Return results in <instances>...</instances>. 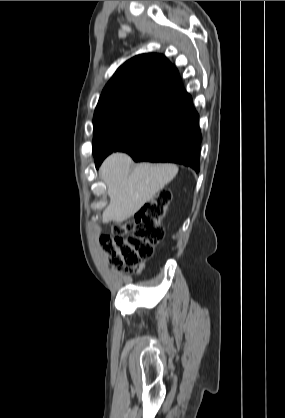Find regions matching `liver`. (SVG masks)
I'll use <instances>...</instances> for the list:
<instances>
[{
	"label": "liver",
	"instance_id": "6515ba94",
	"mask_svg": "<svg viewBox=\"0 0 285 418\" xmlns=\"http://www.w3.org/2000/svg\"><path fill=\"white\" fill-rule=\"evenodd\" d=\"M132 159L113 153L101 165L100 176L107 186L109 205L102 221L123 222L137 213L178 173L174 164L140 163L131 170Z\"/></svg>",
	"mask_w": 285,
	"mask_h": 418
}]
</instances>
